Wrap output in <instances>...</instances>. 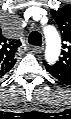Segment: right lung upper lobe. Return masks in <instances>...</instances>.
Returning a JSON list of instances; mask_svg holds the SVG:
<instances>
[{
  "instance_id": "1",
  "label": "right lung upper lobe",
  "mask_w": 71,
  "mask_h": 119,
  "mask_svg": "<svg viewBox=\"0 0 71 119\" xmlns=\"http://www.w3.org/2000/svg\"><path fill=\"white\" fill-rule=\"evenodd\" d=\"M0 71L8 72L16 63L15 54L21 45L20 40L0 37Z\"/></svg>"
}]
</instances>
